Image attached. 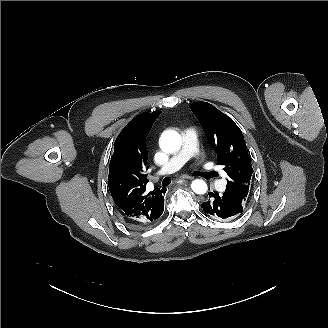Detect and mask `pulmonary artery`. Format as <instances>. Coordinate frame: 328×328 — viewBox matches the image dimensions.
<instances>
[{"instance_id": "pulmonary-artery-1", "label": "pulmonary artery", "mask_w": 328, "mask_h": 328, "mask_svg": "<svg viewBox=\"0 0 328 328\" xmlns=\"http://www.w3.org/2000/svg\"><path fill=\"white\" fill-rule=\"evenodd\" d=\"M183 146L182 149L174 154L170 160L162 167V173L169 174L175 169L181 170L186 167L190 157L195 155L196 149L200 145L201 139L192 128L182 130Z\"/></svg>"}]
</instances>
